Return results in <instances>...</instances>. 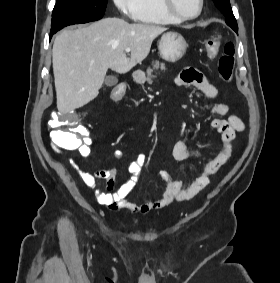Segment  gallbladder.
Here are the masks:
<instances>
[{
	"label": "gallbladder",
	"mask_w": 280,
	"mask_h": 283,
	"mask_svg": "<svg viewBox=\"0 0 280 283\" xmlns=\"http://www.w3.org/2000/svg\"><path fill=\"white\" fill-rule=\"evenodd\" d=\"M118 83V79L114 75H109L105 78V85L112 87Z\"/></svg>",
	"instance_id": "bac80fb5"
}]
</instances>
